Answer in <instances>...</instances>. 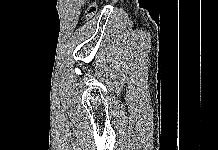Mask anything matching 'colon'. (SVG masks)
Returning a JSON list of instances; mask_svg holds the SVG:
<instances>
[{"mask_svg": "<svg viewBox=\"0 0 218 150\" xmlns=\"http://www.w3.org/2000/svg\"><path fill=\"white\" fill-rule=\"evenodd\" d=\"M96 11V4H91L86 9V16L91 17Z\"/></svg>", "mask_w": 218, "mask_h": 150, "instance_id": "1", "label": "colon"}]
</instances>
